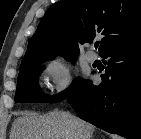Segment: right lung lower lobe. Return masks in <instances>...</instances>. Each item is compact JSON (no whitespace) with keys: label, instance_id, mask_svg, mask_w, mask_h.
I'll list each match as a JSON object with an SVG mask.
<instances>
[{"label":"right lung lower lobe","instance_id":"1","mask_svg":"<svg viewBox=\"0 0 141 139\" xmlns=\"http://www.w3.org/2000/svg\"><path fill=\"white\" fill-rule=\"evenodd\" d=\"M102 83L85 80L69 97L77 115L93 125L128 139H141V37L115 46Z\"/></svg>","mask_w":141,"mask_h":139}]
</instances>
